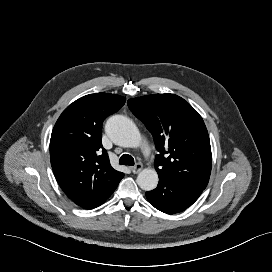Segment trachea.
<instances>
[{
	"label": "trachea",
	"mask_w": 272,
	"mask_h": 272,
	"mask_svg": "<svg viewBox=\"0 0 272 272\" xmlns=\"http://www.w3.org/2000/svg\"><path fill=\"white\" fill-rule=\"evenodd\" d=\"M119 164L133 166L134 165V158L129 154H123L119 159Z\"/></svg>",
	"instance_id": "trachea-1"
}]
</instances>
